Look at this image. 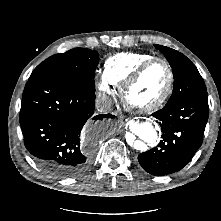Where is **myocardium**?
Returning a JSON list of instances; mask_svg holds the SVG:
<instances>
[{
    "label": "myocardium",
    "mask_w": 221,
    "mask_h": 221,
    "mask_svg": "<svg viewBox=\"0 0 221 221\" xmlns=\"http://www.w3.org/2000/svg\"><path fill=\"white\" fill-rule=\"evenodd\" d=\"M155 63H162L167 72H168V83L166 86L165 91L162 93V95L154 100L153 102L143 105V106H138L133 104L129 98L128 94L130 89L133 87V85L142 77V75L149 69L152 65ZM174 82H175V77H174V71L171 66V64L164 58L161 57H153L151 59L146 60L143 62L122 84L120 87V98L125 106V108L136 112V113H150L153 111H156L157 109L161 108L169 99L171 96L173 89H174Z\"/></svg>",
    "instance_id": "f54148a6"
}]
</instances>
